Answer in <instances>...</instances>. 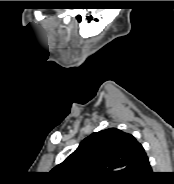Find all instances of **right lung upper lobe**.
Instances as JSON below:
<instances>
[{"mask_svg": "<svg viewBox=\"0 0 174 184\" xmlns=\"http://www.w3.org/2000/svg\"><path fill=\"white\" fill-rule=\"evenodd\" d=\"M147 161L131 134L109 128L85 138L52 172L64 184H115L131 179Z\"/></svg>", "mask_w": 174, "mask_h": 184, "instance_id": "1", "label": "right lung upper lobe"}]
</instances>
